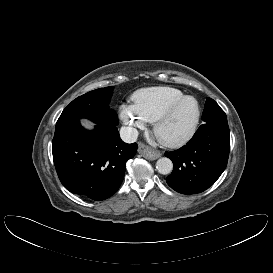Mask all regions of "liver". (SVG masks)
<instances>
[{
  "mask_svg": "<svg viewBox=\"0 0 273 273\" xmlns=\"http://www.w3.org/2000/svg\"><path fill=\"white\" fill-rule=\"evenodd\" d=\"M83 125L87 128H91V124L88 121H83Z\"/></svg>",
  "mask_w": 273,
  "mask_h": 273,
  "instance_id": "6515ba94",
  "label": "liver"
}]
</instances>
